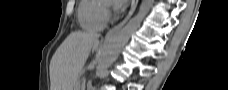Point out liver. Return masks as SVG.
Returning a JSON list of instances; mask_svg holds the SVG:
<instances>
[{
	"instance_id": "obj_1",
	"label": "liver",
	"mask_w": 228,
	"mask_h": 90,
	"mask_svg": "<svg viewBox=\"0 0 228 90\" xmlns=\"http://www.w3.org/2000/svg\"><path fill=\"white\" fill-rule=\"evenodd\" d=\"M99 44V35L72 32L59 46L50 62L51 90H76L81 71L92 50Z\"/></svg>"
}]
</instances>
